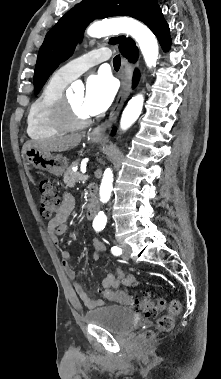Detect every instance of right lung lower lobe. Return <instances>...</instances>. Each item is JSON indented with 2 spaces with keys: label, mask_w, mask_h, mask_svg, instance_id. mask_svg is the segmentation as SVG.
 <instances>
[{
  "label": "right lung lower lobe",
  "mask_w": 221,
  "mask_h": 379,
  "mask_svg": "<svg viewBox=\"0 0 221 379\" xmlns=\"http://www.w3.org/2000/svg\"><path fill=\"white\" fill-rule=\"evenodd\" d=\"M133 79H134L133 85H135L138 82V79H139V72L137 70L134 73Z\"/></svg>",
  "instance_id": "obj_1"
}]
</instances>
